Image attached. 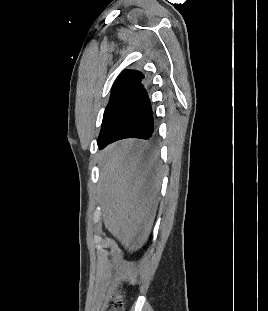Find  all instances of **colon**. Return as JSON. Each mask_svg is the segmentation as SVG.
<instances>
[{
	"label": "colon",
	"instance_id": "1",
	"mask_svg": "<svg viewBox=\"0 0 268 311\" xmlns=\"http://www.w3.org/2000/svg\"><path fill=\"white\" fill-rule=\"evenodd\" d=\"M104 311H124V301L118 292L111 294Z\"/></svg>",
	"mask_w": 268,
	"mask_h": 311
}]
</instances>
